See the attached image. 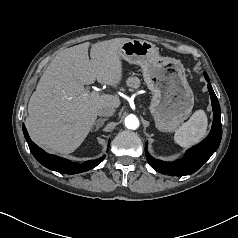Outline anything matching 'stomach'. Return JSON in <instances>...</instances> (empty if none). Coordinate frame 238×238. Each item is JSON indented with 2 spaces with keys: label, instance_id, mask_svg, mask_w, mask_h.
<instances>
[{
  "label": "stomach",
  "instance_id": "1",
  "mask_svg": "<svg viewBox=\"0 0 238 238\" xmlns=\"http://www.w3.org/2000/svg\"><path fill=\"white\" fill-rule=\"evenodd\" d=\"M120 55L127 62L141 67L144 81L152 92L149 109L157 129L175 131L194 106L193 91L181 61L161 56L153 43L141 39L123 43Z\"/></svg>",
  "mask_w": 238,
  "mask_h": 238
}]
</instances>
